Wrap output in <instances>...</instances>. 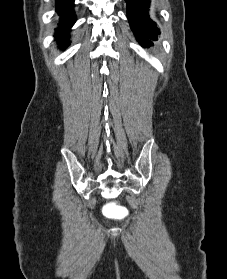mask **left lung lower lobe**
<instances>
[{
  "label": "left lung lower lobe",
  "instance_id": "obj_1",
  "mask_svg": "<svg viewBox=\"0 0 227 279\" xmlns=\"http://www.w3.org/2000/svg\"><path fill=\"white\" fill-rule=\"evenodd\" d=\"M127 17L138 42L144 46L153 45L157 40L159 29L149 16L150 0H125Z\"/></svg>",
  "mask_w": 227,
  "mask_h": 279
}]
</instances>
